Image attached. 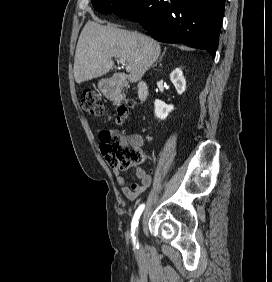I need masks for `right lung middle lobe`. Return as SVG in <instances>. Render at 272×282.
Segmentation results:
<instances>
[{
  "instance_id": "obj_1",
  "label": "right lung middle lobe",
  "mask_w": 272,
  "mask_h": 282,
  "mask_svg": "<svg viewBox=\"0 0 272 282\" xmlns=\"http://www.w3.org/2000/svg\"><path fill=\"white\" fill-rule=\"evenodd\" d=\"M139 1L140 0H92V5L99 13H115Z\"/></svg>"
}]
</instances>
